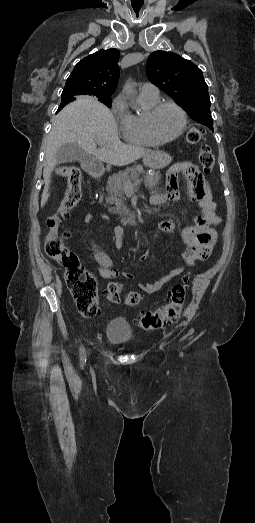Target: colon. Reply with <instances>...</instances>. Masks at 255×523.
Returning a JSON list of instances; mask_svg holds the SVG:
<instances>
[{"instance_id":"1","label":"colon","mask_w":255,"mask_h":523,"mask_svg":"<svg viewBox=\"0 0 255 523\" xmlns=\"http://www.w3.org/2000/svg\"><path fill=\"white\" fill-rule=\"evenodd\" d=\"M203 131L191 127L185 137L189 144H199L203 141ZM199 160L205 173H210L215 164V156L207 144L199 148ZM58 174L67 179L66 194L57 209L47 220L48 233L45 238V252L57 261L64 269L65 283L76 302L82 315L93 316L98 312L97 281L94 275L87 270L76 253L71 251L59 236L62 221L68 216L81 199V172L73 166L62 167ZM186 294V277L184 282L173 286L166 303L152 311L141 313L137 318L138 325L145 330L163 328L176 322L182 312ZM107 299L112 303L121 300V289L117 284L111 283L106 291ZM127 306L138 305L142 297L137 292H128L124 295Z\"/></svg>"}]
</instances>
